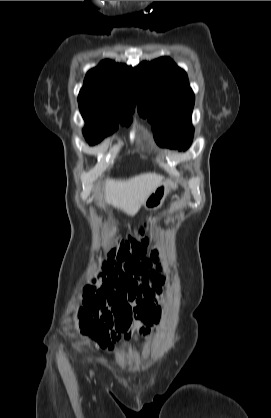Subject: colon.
I'll return each mask as SVG.
<instances>
[{
    "mask_svg": "<svg viewBox=\"0 0 271 418\" xmlns=\"http://www.w3.org/2000/svg\"><path fill=\"white\" fill-rule=\"evenodd\" d=\"M154 220H149L141 225H138L134 231L128 235L127 240L121 239L119 241L118 250L112 251L111 255L116 256L119 261H133L145 256L147 238L145 233L149 227L154 225ZM132 245V249H130ZM137 314H141L137 312ZM118 315V314H115ZM132 315V314H131ZM81 324L84 326V332L96 337L101 344L106 343L108 339L107 328L99 319L93 317L88 312L81 313Z\"/></svg>",
    "mask_w": 271,
    "mask_h": 418,
    "instance_id": "obj_1",
    "label": "colon"
}]
</instances>
